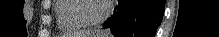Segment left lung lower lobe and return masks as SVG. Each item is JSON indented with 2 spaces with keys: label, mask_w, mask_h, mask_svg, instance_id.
<instances>
[{
  "label": "left lung lower lobe",
  "mask_w": 219,
  "mask_h": 37,
  "mask_svg": "<svg viewBox=\"0 0 219 37\" xmlns=\"http://www.w3.org/2000/svg\"><path fill=\"white\" fill-rule=\"evenodd\" d=\"M164 7L165 0H119L103 27L109 28L114 37H154Z\"/></svg>",
  "instance_id": "left-lung-lower-lobe-1"
}]
</instances>
